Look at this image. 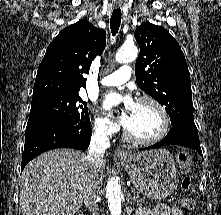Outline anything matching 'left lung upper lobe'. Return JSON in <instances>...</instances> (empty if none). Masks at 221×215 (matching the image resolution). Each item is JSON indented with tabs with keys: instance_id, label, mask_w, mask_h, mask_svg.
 I'll return each mask as SVG.
<instances>
[{
	"instance_id": "left-lung-upper-lobe-1",
	"label": "left lung upper lobe",
	"mask_w": 221,
	"mask_h": 215,
	"mask_svg": "<svg viewBox=\"0 0 221 215\" xmlns=\"http://www.w3.org/2000/svg\"><path fill=\"white\" fill-rule=\"evenodd\" d=\"M134 37L140 46L137 85L165 106L172 126L195 125L190 73L178 42L165 28L150 22L142 23Z\"/></svg>"
}]
</instances>
